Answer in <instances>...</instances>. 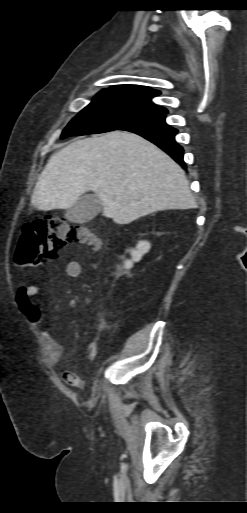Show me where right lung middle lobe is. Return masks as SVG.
Masks as SVG:
<instances>
[{
	"instance_id": "right-lung-middle-lobe-1",
	"label": "right lung middle lobe",
	"mask_w": 247,
	"mask_h": 513,
	"mask_svg": "<svg viewBox=\"0 0 247 513\" xmlns=\"http://www.w3.org/2000/svg\"><path fill=\"white\" fill-rule=\"evenodd\" d=\"M167 110L133 94L104 89L64 129L61 139L121 130L123 127L163 116Z\"/></svg>"
}]
</instances>
